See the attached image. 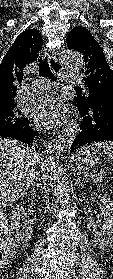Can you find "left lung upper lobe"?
Wrapping results in <instances>:
<instances>
[{"instance_id": "obj_1", "label": "left lung upper lobe", "mask_w": 113, "mask_h": 279, "mask_svg": "<svg viewBox=\"0 0 113 279\" xmlns=\"http://www.w3.org/2000/svg\"><path fill=\"white\" fill-rule=\"evenodd\" d=\"M69 49L80 52L85 60L87 68L83 78L88 87V91L82 93L78 88L77 97L80 100H88L87 105H93L95 100L113 99V74L110 69L102 48L94 39L92 34L84 27L73 28L66 38ZM83 72V70H82Z\"/></svg>"}]
</instances>
